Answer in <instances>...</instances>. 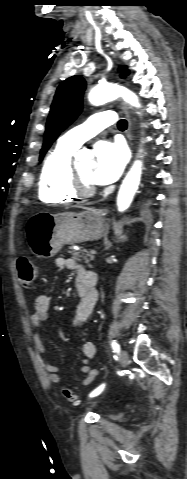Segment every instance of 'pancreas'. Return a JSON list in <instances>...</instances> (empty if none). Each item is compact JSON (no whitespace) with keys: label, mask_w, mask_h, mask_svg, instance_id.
Returning <instances> with one entry per match:
<instances>
[{"label":"pancreas","mask_w":187,"mask_h":479,"mask_svg":"<svg viewBox=\"0 0 187 479\" xmlns=\"http://www.w3.org/2000/svg\"><path fill=\"white\" fill-rule=\"evenodd\" d=\"M70 249L72 250V248H70ZM71 252L73 253V259L78 260V261H81V258H84L87 262L89 261L88 259H86V257L84 256L83 253H81V252H75V251H73V250H72ZM92 259H93V258L91 257V260H92Z\"/></svg>","instance_id":"cf45deb5"}]
</instances>
